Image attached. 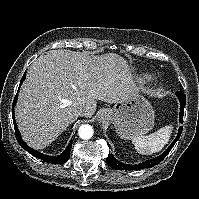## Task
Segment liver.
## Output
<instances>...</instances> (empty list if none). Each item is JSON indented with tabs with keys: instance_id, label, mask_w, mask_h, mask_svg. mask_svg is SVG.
<instances>
[{
	"instance_id": "liver-1",
	"label": "liver",
	"mask_w": 199,
	"mask_h": 199,
	"mask_svg": "<svg viewBox=\"0 0 199 199\" xmlns=\"http://www.w3.org/2000/svg\"><path fill=\"white\" fill-rule=\"evenodd\" d=\"M136 91L126 61L117 54L89 56L53 50L29 68L15 118L23 139L41 149L54 141L85 108L89 118L96 100L115 103Z\"/></svg>"
}]
</instances>
